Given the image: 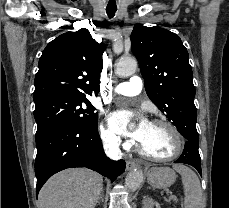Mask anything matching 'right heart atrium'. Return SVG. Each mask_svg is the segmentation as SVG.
<instances>
[{
	"instance_id": "obj_1",
	"label": "right heart atrium",
	"mask_w": 229,
	"mask_h": 208,
	"mask_svg": "<svg viewBox=\"0 0 229 208\" xmlns=\"http://www.w3.org/2000/svg\"><path fill=\"white\" fill-rule=\"evenodd\" d=\"M100 137L102 143L108 148H117L122 146L123 148L128 149L131 147V142H123L115 132L104 125H101L100 127Z\"/></svg>"
}]
</instances>
